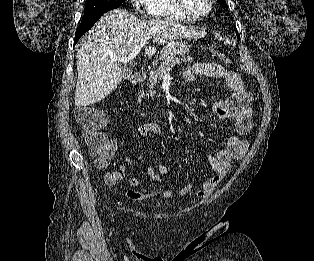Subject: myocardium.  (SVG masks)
<instances>
[{
	"mask_svg": "<svg viewBox=\"0 0 314 261\" xmlns=\"http://www.w3.org/2000/svg\"><path fill=\"white\" fill-rule=\"evenodd\" d=\"M208 1V7L206 9V11L204 13L201 14H196L193 11H191L187 5L185 0H175L176 4L178 5V7L190 18L192 19H201L205 16H207L213 7V0H207Z\"/></svg>",
	"mask_w": 314,
	"mask_h": 261,
	"instance_id": "1",
	"label": "myocardium"
}]
</instances>
